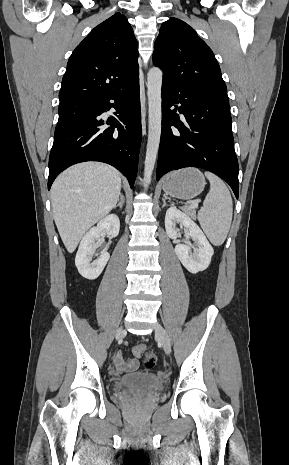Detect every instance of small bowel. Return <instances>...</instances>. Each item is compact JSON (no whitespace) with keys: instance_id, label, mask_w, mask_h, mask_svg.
Returning <instances> with one entry per match:
<instances>
[{"instance_id":"obj_1","label":"small bowel","mask_w":289,"mask_h":465,"mask_svg":"<svg viewBox=\"0 0 289 465\" xmlns=\"http://www.w3.org/2000/svg\"><path fill=\"white\" fill-rule=\"evenodd\" d=\"M115 366L117 371L124 372V371H133L137 368L138 363L134 359H126L122 352H119L115 356Z\"/></svg>"}]
</instances>
